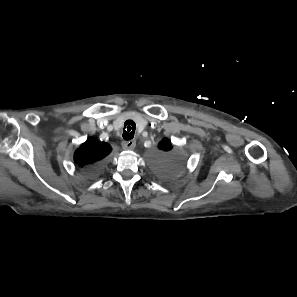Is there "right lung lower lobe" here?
Here are the masks:
<instances>
[{
    "instance_id": "98d812e1",
    "label": "right lung lower lobe",
    "mask_w": 297,
    "mask_h": 297,
    "mask_svg": "<svg viewBox=\"0 0 297 297\" xmlns=\"http://www.w3.org/2000/svg\"><path fill=\"white\" fill-rule=\"evenodd\" d=\"M101 167H102V163H99L95 166L90 167L89 169H90V172L92 173V175H95V174L99 173Z\"/></svg>"
}]
</instances>
